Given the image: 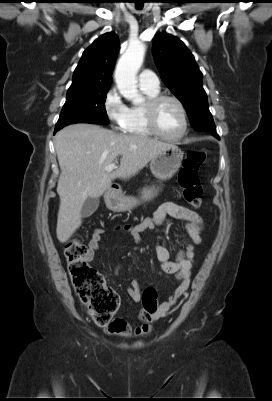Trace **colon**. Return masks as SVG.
Segmentation results:
<instances>
[{
  "instance_id": "colon-1",
  "label": "colon",
  "mask_w": 272,
  "mask_h": 401,
  "mask_svg": "<svg viewBox=\"0 0 272 401\" xmlns=\"http://www.w3.org/2000/svg\"><path fill=\"white\" fill-rule=\"evenodd\" d=\"M205 161L202 150H192L186 155L179 171L178 183L187 203L194 208L201 206L203 189L199 181L198 170ZM87 248L79 238H72L65 243L64 255L68 263L72 285L80 301L96 324L109 327L119 307V296L106 286L103 276L85 260ZM144 310L156 311L157 295L153 288H146L142 294Z\"/></svg>"
}]
</instances>
